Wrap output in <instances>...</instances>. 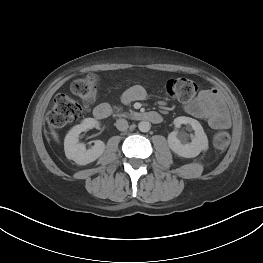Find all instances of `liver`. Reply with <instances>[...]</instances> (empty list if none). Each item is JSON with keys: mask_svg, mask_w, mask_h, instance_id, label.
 <instances>
[{"mask_svg": "<svg viewBox=\"0 0 263 263\" xmlns=\"http://www.w3.org/2000/svg\"><path fill=\"white\" fill-rule=\"evenodd\" d=\"M51 134H52L53 138L55 139V141L58 142V135H57V133L54 132V131H51Z\"/></svg>", "mask_w": 263, "mask_h": 263, "instance_id": "obj_1", "label": "liver"}]
</instances>
